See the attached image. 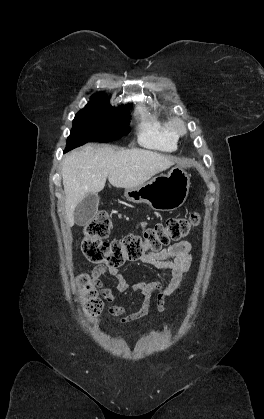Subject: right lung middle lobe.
Returning <instances> with one entry per match:
<instances>
[{
  "label": "right lung middle lobe",
  "instance_id": "1",
  "mask_svg": "<svg viewBox=\"0 0 264 419\" xmlns=\"http://www.w3.org/2000/svg\"><path fill=\"white\" fill-rule=\"evenodd\" d=\"M129 109L110 106L107 97L92 96L91 101L79 111L67 139V152L86 142H109L120 139L129 132Z\"/></svg>",
  "mask_w": 264,
  "mask_h": 419
}]
</instances>
